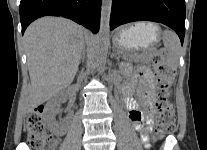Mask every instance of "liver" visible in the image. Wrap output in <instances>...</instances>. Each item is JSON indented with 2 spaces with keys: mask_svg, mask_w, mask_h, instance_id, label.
I'll use <instances>...</instances> for the list:
<instances>
[{
  "mask_svg": "<svg viewBox=\"0 0 207 150\" xmlns=\"http://www.w3.org/2000/svg\"><path fill=\"white\" fill-rule=\"evenodd\" d=\"M31 80L27 112H32L74 80L84 46L83 28L64 18L43 17L24 34Z\"/></svg>",
  "mask_w": 207,
  "mask_h": 150,
  "instance_id": "liver-1",
  "label": "liver"
}]
</instances>
